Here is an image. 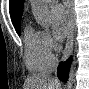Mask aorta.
I'll return each instance as SVG.
<instances>
[{
    "mask_svg": "<svg viewBox=\"0 0 89 89\" xmlns=\"http://www.w3.org/2000/svg\"><path fill=\"white\" fill-rule=\"evenodd\" d=\"M47 2L48 0H31V7L36 22L45 28H48L51 24L50 11ZM75 65L76 60L75 57H73L67 89H72L73 87Z\"/></svg>",
    "mask_w": 89,
    "mask_h": 89,
    "instance_id": "762f6f07",
    "label": "aorta"
}]
</instances>
